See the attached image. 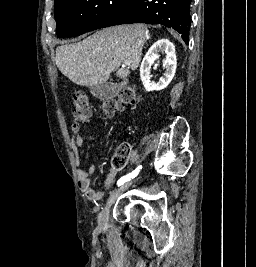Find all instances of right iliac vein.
<instances>
[{
  "mask_svg": "<svg viewBox=\"0 0 256 267\" xmlns=\"http://www.w3.org/2000/svg\"><path fill=\"white\" fill-rule=\"evenodd\" d=\"M131 184L132 182L124 183L121 187H119L118 189L114 190L111 193L106 203V206L101 210V212L98 215L99 226L102 227L107 223L111 205L116 201V199L120 196L122 192L126 191L131 186Z\"/></svg>",
  "mask_w": 256,
  "mask_h": 267,
  "instance_id": "obj_1",
  "label": "right iliac vein"
}]
</instances>
